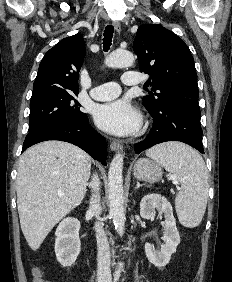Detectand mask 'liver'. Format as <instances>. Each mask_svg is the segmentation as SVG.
Masks as SVG:
<instances>
[{
	"label": "liver",
	"mask_w": 232,
	"mask_h": 282,
	"mask_svg": "<svg viewBox=\"0 0 232 282\" xmlns=\"http://www.w3.org/2000/svg\"><path fill=\"white\" fill-rule=\"evenodd\" d=\"M90 172V156L67 142L46 141L23 153L16 181L17 206L32 250L82 202Z\"/></svg>",
	"instance_id": "6515ba94"
}]
</instances>
